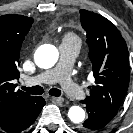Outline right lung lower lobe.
Segmentation results:
<instances>
[{"label": "right lung lower lobe", "mask_w": 133, "mask_h": 133, "mask_svg": "<svg viewBox=\"0 0 133 133\" xmlns=\"http://www.w3.org/2000/svg\"><path fill=\"white\" fill-rule=\"evenodd\" d=\"M44 105L45 100L42 97L27 100L6 122L0 125V129L7 133L25 130L36 120Z\"/></svg>", "instance_id": "right-lung-lower-lobe-1"}]
</instances>
